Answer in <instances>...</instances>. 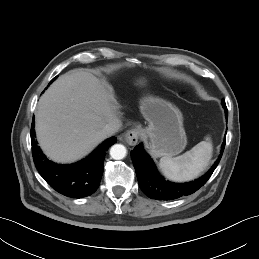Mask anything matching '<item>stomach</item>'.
Instances as JSON below:
<instances>
[{"label":"stomach","instance_id":"0dacf381","mask_svg":"<svg viewBox=\"0 0 259 259\" xmlns=\"http://www.w3.org/2000/svg\"><path fill=\"white\" fill-rule=\"evenodd\" d=\"M140 109L149 122L144 133L150 138L151 153L155 157L181 153L187 139L180 110L170 102L155 97L144 98Z\"/></svg>","mask_w":259,"mask_h":259}]
</instances>
